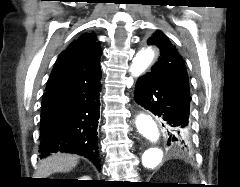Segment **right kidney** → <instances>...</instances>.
Wrapping results in <instances>:
<instances>
[{"label": "right kidney", "mask_w": 240, "mask_h": 187, "mask_svg": "<svg viewBox=\"0 0 240 187\" xmlns=\"http://www.w3.org/2000/svg\"><path fill=\"white\" fill-rule=\"evenodd\" d=\"M81 180H91V178H89V176H83V178H81Z\"/></svg>", "instance_id": "right-kidney-1"}]
</instances>
